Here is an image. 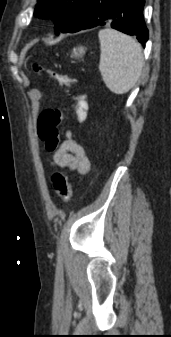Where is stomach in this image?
I'll return each instance as SVG.
<instances>
[{"instance_id":"stomach-1","label":"stomach","mask_w":171,"mask_h":337,"mask_svg":"<svg viewBox=\"0 0 171 337\" xmlns=\"http://www.w3.org/2000/svg\"><path fill=\"white\" fill-rule=\"evenodd\" d=\"M85 53L84 47H78L73 49V56L74 57H81Z\"/></svg>"}]
</instances>
